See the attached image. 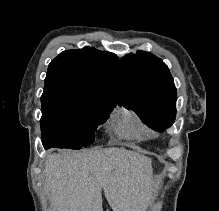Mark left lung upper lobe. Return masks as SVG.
<instances>
[{
	"label": "left lung upper lobe",
	"mask_w": 219,
	"mask_h": 211,
	"mask_svg": "<svg viewBox=\"0 0 219 211\" xmlns=\"http://www.w3.org/2000/svg\"><path fill=\"white\" fill-rule=\"evenodd\" d=\"M122 102L156 131L170 127L176 115V88L166 64L138 51L121 59Z\"/></svg>",
	"instance_id": "1"
}]
</instances>
